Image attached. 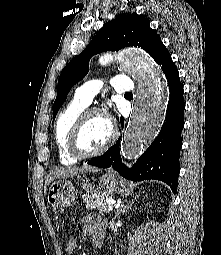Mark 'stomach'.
<instances>
[{
  "mask_svg": "<svg viewBox=\"0 0 221 255\" xmlns=\"http://www.w3.org/2000/svg\"><path fill=\"white\" fill-rule=\"evenodd\" d=\"M99 187L110 194H130L132 192V187L113 173H106L100 177ZM94 188L92 183H83L86 194L93 192ZM75 199V187L70 180L58 179L50 185L47 200L54 209L72 206Z\"/></svg>",
  "mask_w": 221,
  "mask_h": 255,
  "instance_id": "obj_1",
  "label": "stomach"
}]
</instances>
